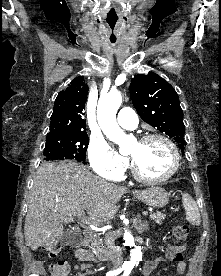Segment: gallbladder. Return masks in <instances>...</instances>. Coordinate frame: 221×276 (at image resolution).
<instances>
[{
  "mask_svg": "<svg viewBox=\"0 0 221 276\" xmlns=\"http://www.w3.org/2000/svg\"><path fill=\"white\" fill-rule=\"evenodd\" d=\"M76 237H77V233L73 231H66L61 237L60 243L66 246L73 245L76 242Z\"/></svg>",
  "mask_w": 221,
  "mask_h": 276,
  "instance_id": "gallbladder-1",
  "label": "gallbladder"
}]
</instances>
